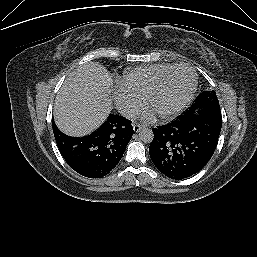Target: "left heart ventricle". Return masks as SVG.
I'll return each mask as SVG.
<instances>
[{
    "label": "left heart ventricle",
    "instance_id": "obj_1",
    "mask_svg": "<svg viewBox=\"0 0 257 257\" xmlns=\"http://www.w3.org/2000/svg\"><path fill=\"white\" fill-rule=\"evenodd\" d=\"M192 84V74L187 69L172 72L164 81L152 102L155 112L167 111L176 106L187 94Z\"/></svg>",
    "mask_w": 257,
    "mask_h": 257
}]
</instances>
